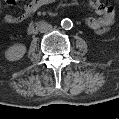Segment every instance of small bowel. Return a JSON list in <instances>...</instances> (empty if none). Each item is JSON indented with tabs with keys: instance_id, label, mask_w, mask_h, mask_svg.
Here are the masks:
<instances>
[{
	"instance_id": "obj_1",
	"label": "small bowel",
	"mask_w": 119,
	"mask_h": 119,
	"mask_svg": "<svg viewBox=\"0 0 119 119\" xmlns=\"http://www.w3.org/2000/svg\"><path fill=\"white\" fill-rule=\"evenodd\" d=\"M51 0H32L25 4L24 11L19 16L7 14L4 16V22L7 24H19L29 19L38 9L50 4ZM19 0H6L8 6L19 4ZM90 7L96 12L98 17H89L86 19V25L97 34H104L108 31L114 22L115 10L111 6L104 5L101 1L91 0Z\"/></svg>"
}]
</instances>
